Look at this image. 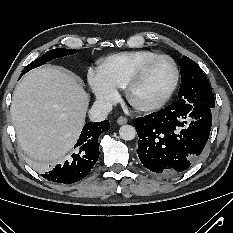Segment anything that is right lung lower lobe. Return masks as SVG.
I'll list each match as a JSON object with an SVG mask.
<instances>
[{"instance_id":"obj_1","label":"right lung lower lobe","mask_w":233,"mask_h":233,"mask_svg":"<svg viewBox=\"0 0 233 233\" xmlns=\"http://www.w3.org/2000/svg\"><path fill=\"white\" fill-rule=\"evenodd\" d=\"M110 128L108 120L87 123L74 146L73 154L62 165L42 175L53 182L69 184L83 179L99 158L98 138Z\"/></svg>"}]
</instances>
